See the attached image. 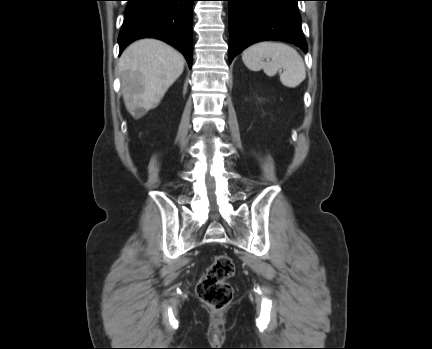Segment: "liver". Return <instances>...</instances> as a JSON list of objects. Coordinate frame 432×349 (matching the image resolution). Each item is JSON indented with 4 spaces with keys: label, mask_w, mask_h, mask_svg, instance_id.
Masks as SVG:
<instances>
[{
    "label": "liver",
    "mask_w": 432,
    "mask_h": 349,
    "mask_svg": "<svg viewBox=\"0 0 432 349\" xmlns=\"http://www.w3.org/2000/svg\"><path fill=\"white\" fill-rule=\"evenodd\" d=\"M181 53L155 39L129 45L119 60L121 90L127 110L136 118L155 108L184 70Z\"/></svg>",
    "instance_id": "obj_1"
}]
</instances>
